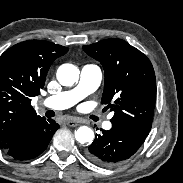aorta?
Masks as SVG:
<instances>
[{"label": "aorta", "mask_w": 183, "mask_h": 183, "mask_svg": "<svg viewBox=\"0 0 183 183\" xmlns=\"http://www.w3.org/2000/svg\"><path fill=\"white\" fill-rule=\"evenodd\" d=\"M79 69L73 64H62L57 70V79L63 86H72L79 80ZM76 140L81 144H90L94 139V132L88 126H81L75 132Z\"/></svg>", "instance_id": "1"}]
</instances>
